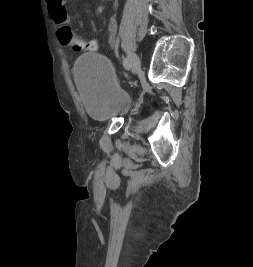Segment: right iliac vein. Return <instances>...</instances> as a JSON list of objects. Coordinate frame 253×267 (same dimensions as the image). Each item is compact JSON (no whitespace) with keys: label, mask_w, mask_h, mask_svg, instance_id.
Listing matches in <instances>:
<instances>
[{"label":"right iliac vein","mask_w":253,"mask_h":267,"mask_svg":"<svg viewBox=\"0 0 253 267\" xmlns=\"http://www.w3.org/2000/svg\"><path fill=\"white\" fill-rule=\"evenodd\" d=\"M128 58L130 60L131 68L134 73H137L140 71V58L137 54L131 52L128 53Z\"/></svg>","instance_id":"63e3f726"}]
</instances>
